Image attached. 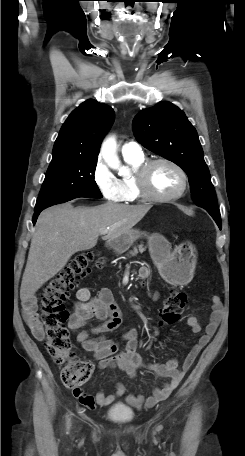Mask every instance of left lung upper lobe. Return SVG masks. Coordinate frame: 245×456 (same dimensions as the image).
<instances>
[{
    "mask_svg": "<svg viewBox=\"0 0 245 456\" xmlns=\"http://www.w3.org/2000/svg\"><path fill=\"white\" fill-rule=\"evenodd\" d=\"M133 131L145 148L181 167L188 175L194 203L214 219H221L197 132L183 111L170 102H161L135 116Z\"/></svg>",
    "mask_w": 245,
    "mask_h": 456,
    "instance_id": "5c2ea615",
    "label": "left lung upper lobe"
}]
</instances>
